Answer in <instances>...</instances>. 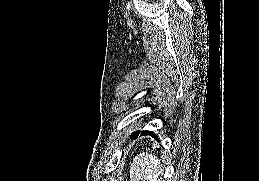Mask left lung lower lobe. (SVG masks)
I'll return each mask as SVG.
<instances>
[{"label": "left lung lower lobe", "instance_id": "obj_1", "mask_svg": "<svg viewBox=\"0 0 259 181\" xmlns=\"http://www.w3.org/2000/svg\"><path fill=\"white\" fill-rule=\"evenodd\" d=\"M142 133H143L144 135H152V136H154V137L158 140V137H157L152 131H143ZM138 134H139V133L135 134L134 136L137 137ZM134 136H133V137H134Z\"/></svg>", "mask_w": 259, "mask_h": 181}]
</instances>
